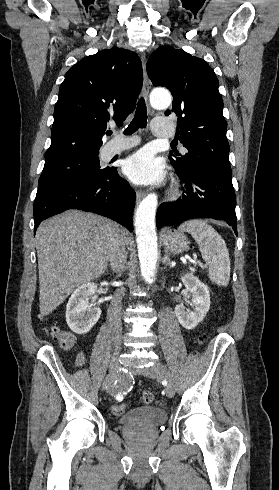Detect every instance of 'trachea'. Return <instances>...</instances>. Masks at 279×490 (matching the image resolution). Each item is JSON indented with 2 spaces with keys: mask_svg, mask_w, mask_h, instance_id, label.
Segmentation results:
<instances>
[{
  "mask_svg": "<svg viewBox=\"0 0 279 490\" xmlns=\"http://www.w3.org/2000/svg\"><path fill=\"white\" fill-rule=\"evenodd\" d=\"M146 125H147V110H146V105L144 103V100L141 99L138 103L135 116L132 122L128 125V127L124 131V134L132 135V133L136 132L139 128H146ZM107 135H112L111 130L107 132Z\"/></svg>",
  "mask_w": 279,
  "mask_h": 490,
  "instance_id": "trachea-1",
  "label": "trachea"
}]
</instances>
